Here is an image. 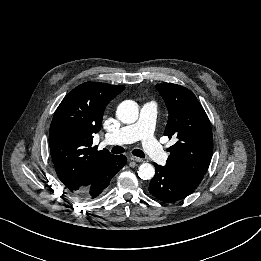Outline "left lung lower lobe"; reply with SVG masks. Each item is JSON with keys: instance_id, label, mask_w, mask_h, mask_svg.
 <instances>
[{"instance_id": "0a47b994", "label": "left lung lower lobe", "mask_w": 261, "mask_h": 261, "mask_svg": "<svg viewBox=\"0 0 261 261\" xmlns=\"http://www.w3.org/2000/svg\"><path fill=\"white\" fill-rule=\"evenodd\" d=\"M155 176L149 184V192L157 199L172 203L184 199L192 192L185 189L165 166L154 163Z\"/></svg>"}]
</instances>
